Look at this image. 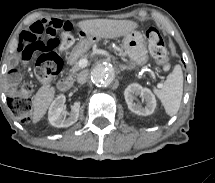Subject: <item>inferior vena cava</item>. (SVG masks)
Here are the masks:
<instances>
[{
  "mask_svg": "<svg viewBox=\"0 0 215 183\" xmlns=\"http://www.w3.org/2000/svg\"><path fill=\"white\" fill-rule=\"evenodd\" d=\"M88 73L86 71H82L77 76V82L79 84H84L87 81Z\"/></svg>",
  "mask_w": 215,
  "mask_h": 183,
  "instance_id": "inferior-vena-cava-1",
  "label": "inferior vena cava"
}]
</instances>
